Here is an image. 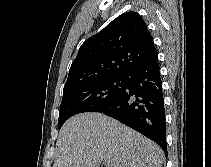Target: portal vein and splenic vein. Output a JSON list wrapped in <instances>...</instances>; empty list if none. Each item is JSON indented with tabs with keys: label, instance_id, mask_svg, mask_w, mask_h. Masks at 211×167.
Returning <instances> with one entry per match:
<instances>
[{
	"label": "portal vein and splenic vein",
	"instance_id": "portal-vein-and-splenic-vein-1",
	"mask_svg": "<svg viewBox=\"0 0 211 167\" xmlns=\"http://www.w3.org/2000/svg\"><path fill=\"white\" fill-rule=\"evenodd\" d=\"M103 164H104L106 167H109V162H108V161H104Z\"/></svg>",
	"mask_w": 211,
	"mask_h": 167
}]
</instances>
